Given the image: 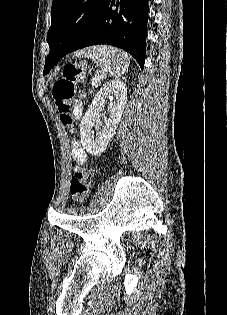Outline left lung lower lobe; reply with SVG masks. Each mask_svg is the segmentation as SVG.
Masks as SVG:
<instances>
[{
  "label": "left lung lower lobe",
  "instance_id": "obj_1",
  "mask_svg": "<svg viewBox=\"0 0 227 315\" xmlns=\"http://www.w3.org/2000/svg\"><path fill=\"white\" fill-rule=\"evenodd\" d=\"M120 6V9L114 7ZM148 22V0H106L96 19L83 36L66 47L59 38L48 41L50 53L46 58L44 73L66 54L99 44L113 45L130 53L144 67Z\"/></svg>",
  "mask_w": 227,
  "mask_h": 315
}]
</instances>
